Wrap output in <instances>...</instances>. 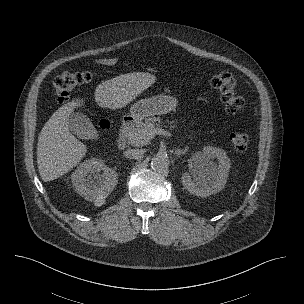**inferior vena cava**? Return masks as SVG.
<instances>
[{
	"label": "inferior vena cava",
	"mask_w": 304,
	"mask_h": 304,
	"mask_svg": "<svg viewBox=\"0 0 304 304\" xmlns=\"http://www.w3.org/2000/svg\"><path fill=\"white\" fill-rule=\"evenodd\" d=\"M144 154L142 149H131L124 152V156L129 159H140Z\"/></svg>",
	"instance_id": "inferior-vena-cava-1"
}]
</instances>
